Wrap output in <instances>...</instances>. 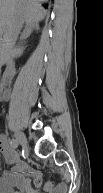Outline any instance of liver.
Here are the masks:
<instances>
[{
    "label": "liver",
    "mask_w": 103,
    "mask_h": 193,
    "mask_svg": "<svg viewBox=\"0 0 103 193\" xmlns=\"http://www.w3.org/2000/svg\"><path fill=\"white\" fill-rule=\"evenodd\" d=\"M44 16L45 11L37 0H0V30L6 42L2 47L3 59H7L9 55L11 57L20 56L24 51L21 47L7 50V45L12 39V27L17 21L37 26Z\"/></svg>",
    "instance_id": "6515ba94"
}]
</instances>
